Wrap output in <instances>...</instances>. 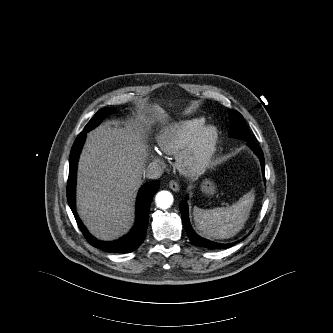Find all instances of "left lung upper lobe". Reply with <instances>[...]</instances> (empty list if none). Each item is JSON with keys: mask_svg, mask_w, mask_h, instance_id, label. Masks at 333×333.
Instances as JSON below:
<instances>
[{"mask_svg": "<svg viewBox=\"0 0 333 333\" xmlns=\"http://www.w3.org/2000/svg\"><path fill=\"white\" fill-rule=\"evenodd\" d=\"M229 118L231 125L229 128V136L234 138H240L247 142H251L252 137L249 128L243 118V116L236 110H229Z\"/></svg>", "mask_w": 333, "mask_h": 333, "instance_id": "1", "label": "left lung upper lobe"}]
</instances>
